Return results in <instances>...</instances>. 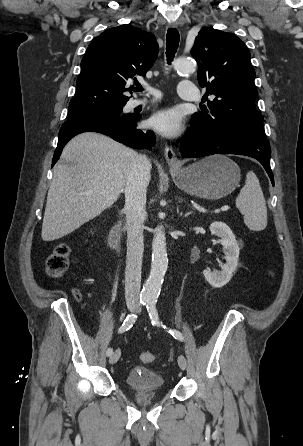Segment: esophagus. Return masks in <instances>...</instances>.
I'll return each instance as SVG.
<instances>
[{
  "mask_svg": "<svg viewBox=\"0 0 303 446\" xmlns=\"http://www.w3.org/2000/svg\"><path fill=\"white\" fill-rule=\"evenodd\" d=\"M169 28H177L176 23H170ZM165 159L169 166L176 167L178 166V159L176 157V154L172 148V146L166 145L164 150Z\"/></svg>",
  "mask_w": 303,
  "mask_h": 446,
  "instance_id": "1",
  "label": "esophagus"
}]
</instances>
